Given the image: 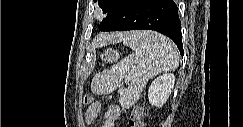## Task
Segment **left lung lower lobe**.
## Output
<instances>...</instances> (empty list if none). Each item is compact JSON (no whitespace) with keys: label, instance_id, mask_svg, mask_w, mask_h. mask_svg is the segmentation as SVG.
<instances>
[{"label":"left lung lower lobe","instance_id":"1","mask_svg":"<svg viewBox=\"0 0 243 127\" xmlns=\"http://www.w3.org/2000/svg\"><path fill=\"white\" fill-rule=\"evenodd\" d=\"M101 31L150 29L171 38L183 55L181 22L173 0H123Z\"/></svg>","mask_w":243,"mask_h":127}]
</instances>
